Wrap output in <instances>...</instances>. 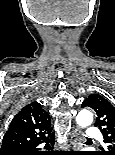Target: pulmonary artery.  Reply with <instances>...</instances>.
<instances>
[{
  "mask_svg": "<svg viewBox=\"0 0 115 155\" xmlns=\"http://www.w3.org/2000/svg\"><path fill=\"white\" fill-rule=\"evenodd\" d=\"M86 136L90 139H97L101 137V133L97 128H89Z\"/></svg>",
  "mask_w": 115,
  "mask_h": 155,
  "instance_id": "obj_1",
  "label": "pulmonary artery"
}]
</instances>
